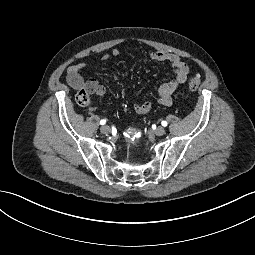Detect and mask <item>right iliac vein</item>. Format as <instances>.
Listing matches in <instances>:
<instances>
[{
  "label": "right iliac vein",
  "instance_id": "1",
  "mask_svg": "<svg viewBox=\"0 0 255 255\" xmlns=\"http://www.w3.org/2000/svg\"><path fill=\"white\" fill-rule=\"evenodd\" d=\"M100 131H101V133L106 134V135L111 133V129H110V127L108 125L102 126L100 128Z\"/></svg>",
  "mask_w": 255,
  "mask_h": 255
}]
</instances>
